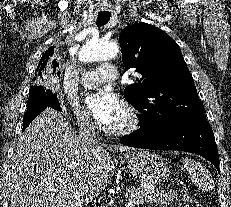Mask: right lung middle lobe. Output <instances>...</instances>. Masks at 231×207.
Instances as JSON below:
<instances>
[{
  "instance_id": "right-lung-middle-lobe-1",
  "label": "right lung middle lobe",
  "mask_w": 231,
  "mask_h": 207,
  "mask_svg": "<svg viewBox=\"0 0 231 207\" xmlns=\"http://www.w3.org/2000/svg\"><path fill=\"white\" fill-rule=\"evenodd\" d=\"M44 87L42 86H33L30 91H29V99H28V103H30L31 101H33L36 92H38L39 90H42Z\"/></svg>"
}]
</instances>
